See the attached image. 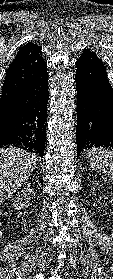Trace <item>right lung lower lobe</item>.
Returning a JSON list of instances; mask_svg holds the SVG:
<instances>
[{
    "mask_svg": "<svg viewBox=\"0 0 113 279\" xmlns=\"http://www.w3.org/2000/svg\"><path fill=\"white\" fill-rule=\"evenodd\" d=\"M46 69L0 110V148L16 146L44 155L49 96Z\"/></svg>",
    "mask_w": 113,
    "mask_h": 279,
    "instance_id": "obj_1",
    "label": "right lung lower lobe"
}]
</instances>
